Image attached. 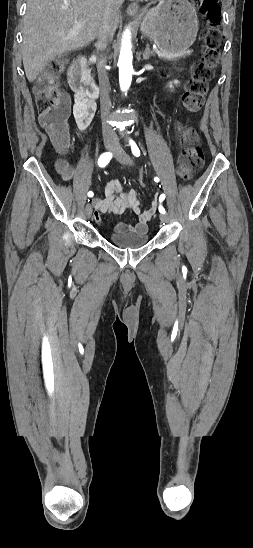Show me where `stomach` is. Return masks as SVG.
<instances>
[{
    "label": "stomach",
    "instance_id": "obj_1",
    "mask_svg": "<svg viewBox=\"0 0 253 548\" xmlns=\"http://www.w3.org/2000/svg\"><path fill=\"white\" fill-rule=\"evenodd\" d=\"M140 30L160 49L175 54L184 53L197 36L196 10L188 0H161L144 13Z\"/></svg>",
    "mask_w": 253,
    "mask_h": 548
}]
</instances>
